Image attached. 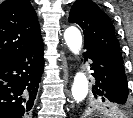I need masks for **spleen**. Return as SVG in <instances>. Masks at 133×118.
Returning <instances> with one entry per match:
<instances>
[{
  "mask_svg": "<svg viewBox=\"0 0 133 118\" xmlns=\"http://www.w3.org/2000/svg\"><path fill=\"white\" fill-rule=\"evenodd\" d=\"M118 116H119L120 118H123V115H122V114H119Z\"/></svg>",
  "mask_w": 133,
  "mask_h": 118,
  "instance_id": "spleen-1",
  "label": "spleen"
}]
</instances>
